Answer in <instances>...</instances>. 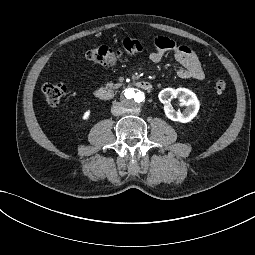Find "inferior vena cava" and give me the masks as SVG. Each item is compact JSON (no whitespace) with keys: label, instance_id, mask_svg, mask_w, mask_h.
Wrapping results in <instances>:
<instances>
[{"label":"inferior vena cava","instance_id":"602c4592","mask_svg":"<svg viewBox=\"0 0 255 255\" xmlns=\"http://www.w3.org/2000/svg\"><path fill=\"white\" fill-rule=\"evenodd\" d=\"M111 113L114 116H119L125 113V108L121 106V103L119 102H114L112 107H111Z\"/></svg>","mask_w":255,"mask_h":255}]
</instances>
